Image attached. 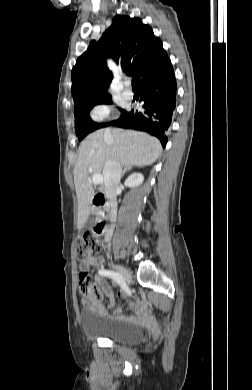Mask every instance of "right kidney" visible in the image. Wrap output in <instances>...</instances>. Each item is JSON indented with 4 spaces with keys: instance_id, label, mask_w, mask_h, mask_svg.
I'll use <instances>...</instances> for the list:
<instances>
[{
    "instance_id": "ca27d5eb",
    "label": "right kidney",
    "mask_w": 252,
    "mask_h": 390,
    "mask_svg": "<svg viewBox=\"0 0 252 390\" xmlns=\"http://www.w3.org/2000/svg\"><path fill=\"white\" fill-rule=\"evenodd\" d=\"M144 177L141 173H133L126 180L124 185L126 187H136L142 184Z\"/></svg>"
}]
</instances>
